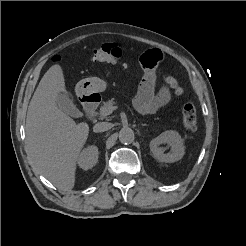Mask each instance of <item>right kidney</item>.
Returning <instances> with one entry per match:
<instances>
[{
	"label": "right kidney",
	"mask_w": 246,
	"mask_h": 246,
	"mask_svg": "<svg viewBox=\"0 0 246 246\" xmlns=\"http://www.w3.org/2000/svg\"><path fill=\"white\" fill-rule=\"evenodd\" d=\"M99 151L97 146L91 145L85 148L78 157V165L84 170H88L96 165Z\"/></svg>",
	"instance_id": "1"
}]
</instances>
